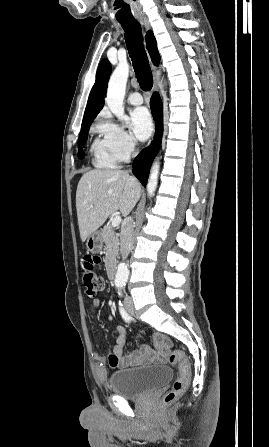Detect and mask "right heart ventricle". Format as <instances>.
I'll return each mask as SVG.
<instances>
[{
	"mask_svg": "<svg viewBox=\"0 0 269 447\" xmlns=\"http://www.w3.org/2000/svg\"><path fill=\"white\" fill-rule=\"evenodd\" d=\"M91 152L93 155V164L98 168H112L119 161L111 148L108 138L105 136L94 140L91 146Z\"/></svg>",
	"mask_w": 269,
	"mask_h": 447,
	"instance_id": "e07e8e85",
	"label": "right heart ventricle"
}]
</instances>
